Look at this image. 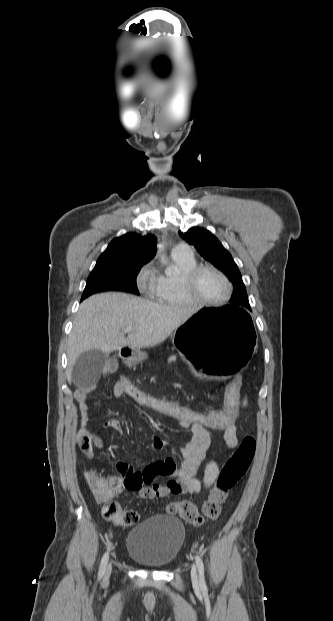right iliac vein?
<instances>
[{
	"mask_svg": "<svg viewBox=\"0 0 333 621\" xmlns=\"http://www.w3.org/2000/svg\"><path fill=\"white\" fill-rule=\"evenodd\" d=\"M111 569H112V568H111V565H108V566H107V569H106V573H105V576H106V577H108V576L110 575V573H111Z\"/></svg>",
	"mask_w": 333,
	"mask_h": 621,
	"instance_id": "1",
	"label": "right iliac vein"
}]
</instances>
